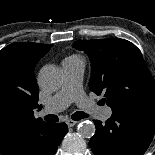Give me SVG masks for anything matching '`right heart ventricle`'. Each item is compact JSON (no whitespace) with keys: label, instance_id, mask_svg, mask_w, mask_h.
<instances>
[{"label":"right heart ventricle","instance_id":"obj_1","mask_svg":"<svg viewBox=\"0 0 155 155\" xmlns=\"http://www.w3.org/2000/svg\"><path fill=\"white\" fill-rule=\"evenodd\" d=\"M67 58H81V57L78 56V55H71V56H69V57H67Z\"/></svg>","mask_w":155,"mask_h":155}]
</instances>
